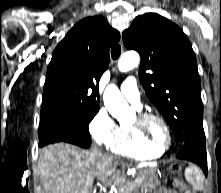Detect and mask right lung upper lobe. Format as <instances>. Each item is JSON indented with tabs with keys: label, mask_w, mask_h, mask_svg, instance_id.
Here are the masks:
<instances>
[{
	"label": "right lung upper lobe",
	"mask_w": 221,
	"mask_h": 193,
	"mask_svg": "<svg viewBox=\"0 0 221 193\" xmlns=\"http://www.w3.org/2000/svg\"><path fill=\"white\" fill-rule=\"evenodd\" d=\"M119 39L120 33L100 15L71 28L53 52L41 111L99 108L98 83L109 65V49Z\"/></svg>",
	"instance_id": "cb5924a9"
}]
</instances>
